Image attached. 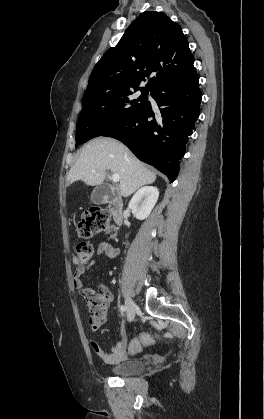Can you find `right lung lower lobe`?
I'll return each mask as SVG.
<instances>
[{
  "label": "right lung lower lobe",
  "instance_id": "98d812e1",
  "mask_svg": "<svg viewBox=\"0 0 264 419\" xmlns=\"http://www.w3.org/2000/svg\"><path fill=\"white\" fill-rule=\"evenodd\" d=\"M199 77L175 79L156 85L151 96L159 109L150 102L102 136L123 142L144 161L173 182L179 173V160L185 154V144L199 117L202 94Z\"/></svg>",
  "mask_w": 264,
  "mask_h": 419
}]
</instances>
